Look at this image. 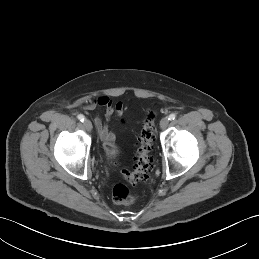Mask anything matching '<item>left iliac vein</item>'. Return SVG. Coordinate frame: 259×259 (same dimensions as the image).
I'll return each instance as SVG.
<instances>
[{"instance_id":"left-iliac-vein-1","label":"left iliac vein","mask_w":259,"mask_h":259,"mask_svg":"<svg viewBox=\"0 0 259 259\" xmlns=\"http://www.w3.org/2000/svg\"><path fill=\"white\" fill-rule=\"evenodd\" d=\"M169 124V119L167 117H164L161 121H160V128L161 129H166L167 126Z\"/></svg>"}]
</instances>
